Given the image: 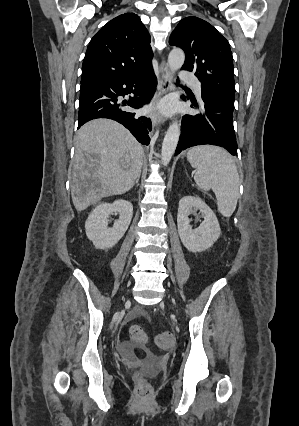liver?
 Listing matches in <instances>:
<instances>
[{
    "instance_id": "6515ba94",
    "label": "liver",
    "mask_w": 299,
    "mask_h": 426,
    "mask_svg": "<svg viewBox=\"0 0 299 426\" xmlns=\"http://www.w3.org/2000/svg\"><path fill=\"white\" fill-rule=\"evenodd\" d=\"M144 151L131 133L109 119L84 124L75 137L71 197L77 211L129 191L141 174Z\"/></svg>"
}]
</instances>
